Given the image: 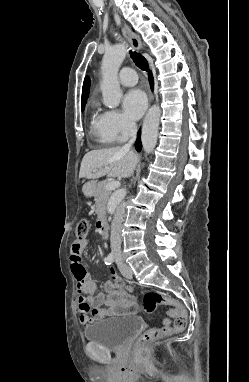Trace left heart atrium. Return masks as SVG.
<instances>
[{
    "label": "left heart atrium",
    "instance_id": "1",
    "mask_svg": "<svg viewBox=\"0 0 249 382\" xmlns=\"http://www.w3.org/2000/svg\"><path fill=\"white\" fill-rule=\"evenodd\" d=\"M147 107L146 94L141 89L130 90L123 99L126 115L133 120L139 119Z\"/></svg>",
    "mask_w": 249,
    "mask_h": 382
}]
</instances>
